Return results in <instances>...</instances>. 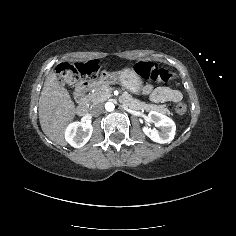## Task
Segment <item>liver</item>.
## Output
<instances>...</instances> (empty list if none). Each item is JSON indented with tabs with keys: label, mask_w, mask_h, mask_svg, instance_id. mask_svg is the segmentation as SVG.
<instances>
[{
	"label": "liver",
	"mask_w": 236,
	"mask_h": 236,
	"mask_svg": "<svg viewBox=\"0 0 236 236\" xmlns=\"http://www.w3.org/2000/svg\"><path fill=\"white\" fill-rule=\"evenodd\" d=\"M109 73L116 75L117 71ZM38 113L44 134L58 145L67 146L66 130L78 113L69 91L59 81L54 70L46 76L38 102Z\"/></svg>",
	"instance_id": "obj_1"
}]
</instances>
